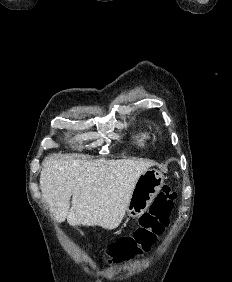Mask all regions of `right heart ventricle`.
I'll use <instances>...</instances> for the list:
<instances>
[{"label":"right heart ventricle","instance_id":"obj_1","mask_svg":"<svg viewBox=\"0 0 232 282\" xmlns=\"http://www.w3.org/2000/svg\"><path fill=\"white\" fill-rule=\"evenodd\" d=\"M150 139H151V132L148 128L138 129L133 136L134 143L139 148H145L148 142L150 141Z\"/></svg>","mask_w":232,"mask_h":282}]
</instances>
